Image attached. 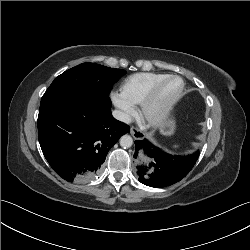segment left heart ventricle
<instances>
[{
	"label": "left heart ventricle",
	"instance_id": "left-heart-ventricle-1",
	"mask_svg": "<svg viewBox=\"0 0 250 250\" xmlns=\"http://www.w3.org/2000/svg\"><path fill=\"white\" fill-rule=\"evenodd\" d=\"M181 88V81L173 79L168 81L160 90L158 98L152 108V112L162 109L166 103L173 98Z\"/></svg>",
	"mask_w": 250,
	"mask_h": 250
}]
</instances>
